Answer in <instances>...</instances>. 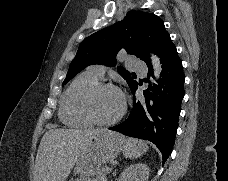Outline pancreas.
Instances as JSON below:
<instances>
[{"label": "pancreas", "instance_id": "cf45deb5", "mask_svg": "<svg viewBox=\"0 0 228 181\" xmlns=\"http://www.w3.org/2000/svg\"><path fill=\"white\" fill-rule=\"evenodd\" d=\"M105 171V169H101V171L97 173L98 177H96V179H93V181H104L106 175ZM76 181H90V177L87 175V177H81V179H76Z\"/></svg>", "mask_w": 228, "mask_h": 181}]
</instances>
